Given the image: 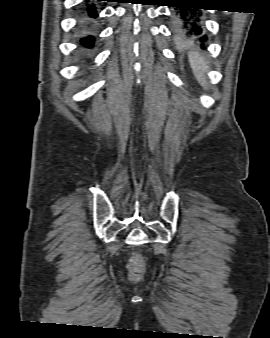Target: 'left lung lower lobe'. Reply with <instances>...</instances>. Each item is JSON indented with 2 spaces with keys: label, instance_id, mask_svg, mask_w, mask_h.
<instances>
[{
  "label": "left lung lower lobe",
  "instance_id": "0a47b994",
  "mask_svg": "<svg viewBox=\"0 0 270 338\" xmlns=\"http://www.w3.org/2000/svg\"><path fill=\"white\" fill-rule=\"evenodd\" d=\"M169 7H176L172 17L175 40L180 43L200 42L204 45L207 37L201 24V13L197 8L181 1Z\"/></svg>",
  "mask_w": 270,
  "mask_h": 338
}]
</instances>
